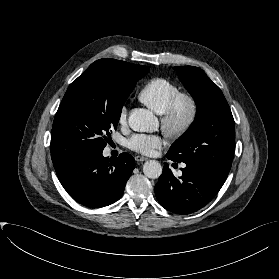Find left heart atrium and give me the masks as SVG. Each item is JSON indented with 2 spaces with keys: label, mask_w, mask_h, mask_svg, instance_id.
<instances>
[{
  "label": "left heart atrium",
  "mask_w": 279,
  "mask_h": 279,
  "mask_svg": "<svg viewBox=\"0 0 279 279\" xmlns=\"http://www.w3.org/2000/svg\"><path fill=\"white\" fill-rule=\"evenodd\" d=\"M162 139L158 135L153 134H134L128 141L127 146L138 153L150 155L155 149L160 148Z\"/></svg>",
  "instance_id": "39dd6f15"
}]
</instances>
